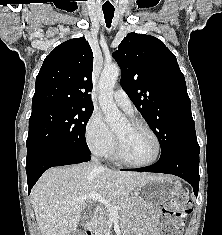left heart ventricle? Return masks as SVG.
Segmentation results:
<instances>
[{"label": "left heart ventricle", "mask_w": 222, "mask_h": 235, "mask_svg": "<svg viewBox=\"0 0 222 235\" xmlns=\"http://www.w3.org/2000/svg\"><path fill=\"white\" fill-rule=\"evenodd\" d=\"M116 135L121 141L125 155L130 160L142 163L155 156L156 141L146 130L133 128L128 121H125L116 129Z\"/></svg>", "instance_id": "left-heart-ventricle-1"}]
</instances>
